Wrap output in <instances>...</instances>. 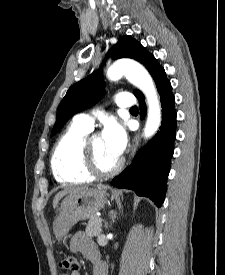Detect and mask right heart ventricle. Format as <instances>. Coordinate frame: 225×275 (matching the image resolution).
I'll use <instances>...</instances> for the list:
<instances>
[{"label": "right heart ventricle", "instance_id": "1", "mask_svg": "<svg viewBox=\"0 0 225 275\" xmlns=\"http://www.w3.org/2000/svg\"><path fill=\"white\" fill-rule=\"evenodd\" d=\"M90 129L72 123L57 140L51 168L55 179L62 184H82L92 180L81 166V145Z\"/></svg>", "mask_w": 225, "mask_h": 275}]
</instances>
